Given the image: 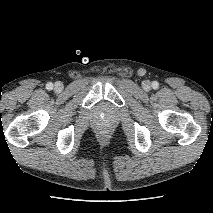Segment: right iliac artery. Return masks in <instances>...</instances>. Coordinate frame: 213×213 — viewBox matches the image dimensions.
Here are the masks:
<instances>
[{
  "mask_svg": "<svg viewBox=\"0 0 213 213\" xmlns=\"http://www.w3.org/2000/svg\"><path fill=\"white\" fill-rule=\"evenodd\" d=\"M46 89L52 90L53 89V84L51 82L46 84Z\"/></svg>",
  "mask_w": 213,
  "mask_h": 213,
  "instance_id": "obj_1",
  "label": "right iliac artery"
}]
</instances>
